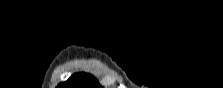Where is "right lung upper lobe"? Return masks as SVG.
Returning a JSON list of instances; mask_svg holds the SVG:
<instances>
[{"label": "right lung upper lobe", "instance_id": "right-lung-upper-lobe-1", "mask_svg": "<svg viewBox=\"0 0 223 88\" xmlns=\"http://www.w3.org/2000/svg\"><path fill=\"white\" fill-rule=\"evenodd\" d=\"M58 88H101V86L92 75L77 73L66 82L60 83Z\"/></svg>", "mask_w": 223, "mask_h": 88}]
</instances>
